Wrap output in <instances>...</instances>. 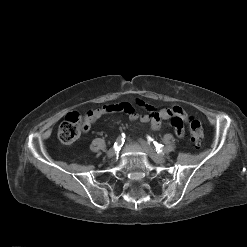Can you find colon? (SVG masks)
Masks as SVG:
<instances>
[{
	"label": "colon",
	"instance_id": "obj_1",
	"mask_svg": "<svg viewBox=\"0 0 247 247\" xmlns=\"http://www.w3.org/2000/svg\"><path fill=\"white\" fill-rule=\"evenodd\" d=\"M84 130V119L77 112L69 113L61 123L58 130V138L65 145L73 144ZM190 140L195 147L201 146L204 139V130L199 120H189Z\"/></svg>",
	"mask_w": 247,
	"mask_h": 247
}]
</instances>
